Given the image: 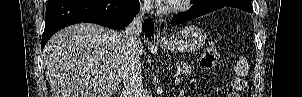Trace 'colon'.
Listing matches in <instances>:
<instances>
[{
  "instance_id": "colon-1",
  "label": "colon",
  "mask_w": 302,
  "mask_h": 97,
  "mask_svg": "<svg viewBox=\"0 0 302 97\" xmlns=\"http://www.w3.org/2000/svg\"><path fill=\"white\" fill-rule=\"evenodd\" d=\"M219 59L218 49L214 46L207 47L200 58V66L203 70H211L215 67ZM231 88L233 94L231 97H239V93L244 91L246 88V82L241 77H234L231 80Z\"/></svg>"
}]
</instances>
